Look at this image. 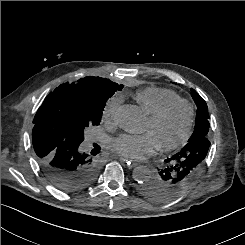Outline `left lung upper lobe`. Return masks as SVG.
Instances as JSON below:
<instances>
[{"instance_id": "obj_1", "label": "left lung upper lobe", "mask_w": 245, "mask_h": 245, "mask_svg": "<svg viewBox=\"0 0 245 245\" xmlns=\"http://www.w3.org/2000/svg\"><path fill=\"white\" fill-rule=\"evenodd\" d=\"M191 94H192L193 100L195 101L197 105V115H196L194 132L188 141L196 140L202 137H207V133L210 127V124L208 121L209 119L208 107H207L206 102L192 88H191Z\"/></svg>"}]
</instances>
